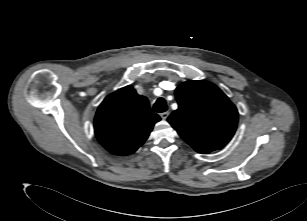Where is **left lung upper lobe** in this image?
Returning <instances> with one entry per match:
<instances>
[{
    "label": "left lung upper lobe",
    "instance_id": "obj_1",
    "mask_svg": "<svg viewBox=\"0 0 307 221\" xmlns=\"http://www.w3.org/2000/svg\"><path fill=\"white\" fill-rule=\"evenodd\" d=\"M175 95L179 107L167 120L197 152L210 153L231 140L238 111L215 84L187 81L176 88Z\"/></svg>",
    "mask_w": 307,
    "mask_h": 221
}]
</instances>
